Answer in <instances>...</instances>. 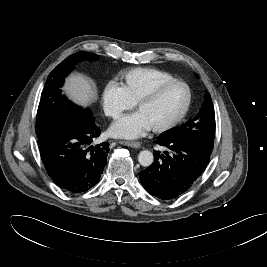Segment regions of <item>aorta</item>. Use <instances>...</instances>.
Segmentation results:
<instances>
[{"label":"aorta","mask_w":267,"mask_h":267,"mask_svg":"<svg viewBox=\"0 0 267 267\" xmlns=\"http://www.w3.org/2000/svg\"><path fill=\"white\" fill-rule=\"evenodd\" d=\"M154 156L149 150H142L138 154V162L144 167H148L153 163Z\"/></svg>","instance_id":"aorta-1"}]
</instances>
